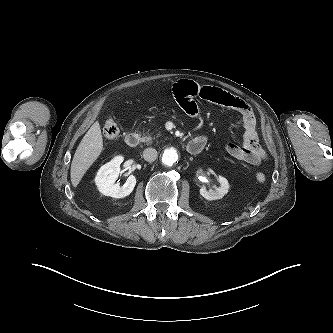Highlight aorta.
I'll use <instances>...</instances> for the list:
<instances>
[{"mask_svg":"<svg viewBox=\"0 0 333 333\" xmlns=\"http://www.w3.org/2000/svg\"><path fill=\"white\" fill-rule=\"evenodd\" d=\"M178 160V152L175 148H167L162 155V163L166 166H172Z\"/></svg>","mask_w":333,"mask_h":333,"instance_id":"obj_1","label":"aorta"}]
</instances>
